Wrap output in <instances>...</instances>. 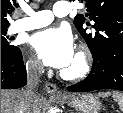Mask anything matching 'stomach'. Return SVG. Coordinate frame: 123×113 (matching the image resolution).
I'll use <instances>...</instances> for the list:
<instances>
[{
  "label": "stomach",
  "instance_id": "1",
  "mask_svg": "<svg viewBox=\"0 0 123 113\" xmlns=\"http://www.w3.org/2000/svg\"><path fill=\"white\" fill-rule=\"evenodd\" d=\"M63 100L81 113H99L101 109L98 97L91 94L69 95L64 97Z\"/></svg>",
  "mask_w": 123,
  "mask_h": 113
}]
</instances>
